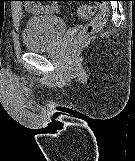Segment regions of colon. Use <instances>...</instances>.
Returning <instances> with one entry per match:
<instances>
[{"mask_svg":"<svg viewBox=\"0 0 135 161\" xmlns=\"http://www.w3.org/2000/svg\"><path fill=\"white\" fill-rule=\"evenodd\" d=\"M98 7L99 10L96 14H95L96 7L93 4L86 3L79 7L78 13L80 17L82 18L93 17V18L89 23L86 24V26L83 29V32L75 40L74 43L75 47L80 46L86 37L100 31L103 25L105 24L108 18L109 9L105 4H98Z\"/></svg>","mask_w":135,"mask_h":161,"instance_id":"5ec220e1","label":"colon"}]
</instances>
